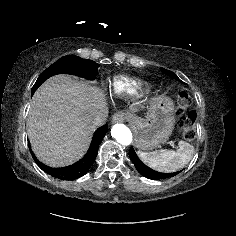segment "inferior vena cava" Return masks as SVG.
<instances>
[{
  "label": "inferior vena cava",
  "instance_id": "1",
  "mask_svg": "<svg viewBox=\"0 0 236 236\" xmlns=\"http://www.w3.org/2000/svg\"><path fill=\"white\" fill-rule=\"evenodd\" d=\"M107 117H108L107 111H104L101 114L95 116L94 119L92 120V127L96 129L104 125L107 120Z\"/></svg>",
  "mask_w": 236,
  "mask_h": 236
}]
</instances>
